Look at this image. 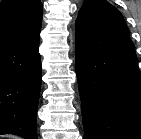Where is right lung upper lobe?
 <instances>
[{
    "instance_id": "cb5924a9",
    "label": "right lung upper lobe",
    "mask_w": 141,
    "mask_h": 139,
    "mask_svg": "<svg viewBox=\"0 0 141 139\" xmlns=\"http://www.w3.org/2000/svg\"><path fill=\"white\" fill-rule=\"evenodd\" d=\"M40 0H4L0 3V48L40 35Z\"/></svg>"
}]
</instances>
